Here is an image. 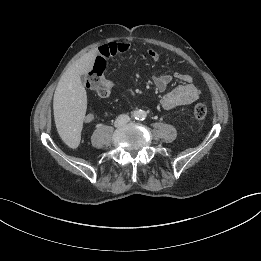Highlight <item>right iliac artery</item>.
Segmentation results:
<instances>
[{
  "instance_id": "1",
  "label": "right iliac artery",
  "mask_w": 261,
  "mask_h": 261,
  "mask_svg": "<svg viewBox=\"0 0 261 261\" xmlns=\"http://www.w3.org/2000/svg\"><path fill=\"white\" fill-rule=\"evenodd\" d=\"M132 116L136 118V116H137V113H135V112H134Z\"/></svg>"
}]
</instances>
